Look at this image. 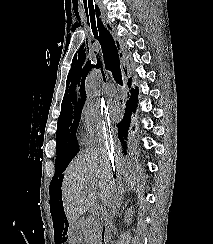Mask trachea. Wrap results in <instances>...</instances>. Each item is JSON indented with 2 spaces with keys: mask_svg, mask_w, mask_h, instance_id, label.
Here are the masks:
<instances>
[{
  "mask_svg": "<svg viewBox=\"0 0 213 244\" xmlns=\"http://www.w3.org/2000/svg\"><path fill=\"white\" fill-rule=\"evenodd\" d=\"M86 14H87L88 22L90 19L93 35L101 45L104 62H105V68L112 73L116 83L122 86L123 80H122L118 50L112 35L104 27L100 19L99 7H95V9L94 7L91 9L89 8V13L87 9Z\"/></svg>",
  "mask_w": 213,
  "mask_h": 244,
  "instance_id": "obj_1",
  "label": "trachea"
}]
</instances>
